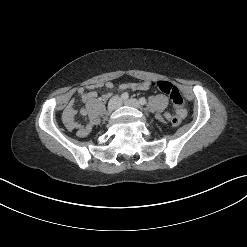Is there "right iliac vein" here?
Returning <instances> with one entry per match:
<instances>
[{
  "mask_svg": "<svg viewBox=\"0 0 247 247\" xmlns=\"http://www.w3.org/2000/svg\"><path fill=\"white\" fill-rule=\"evenodd\" d=\"M121 105V100L118 96H114L110 99L107 106L106 115L109 116L114 110L119 108Z\"/></svg>",
  "mask_w": 247,
  "mask_h": 247,
  "instance_id": "1",
  "label": "right iliac vein"
}]
</instances>
